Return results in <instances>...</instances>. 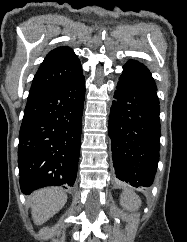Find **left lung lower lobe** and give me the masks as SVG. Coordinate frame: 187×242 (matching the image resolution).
I'll use <instances>...</instances> for the list:
<instances>
[{
    "mask_svg": "<svg viewBox=\"0 0 187 242\" xmlns=\"http://www.w3.org/2000/svg\"><path fill=\"white\" fill-rule=\"evenodd\" d=\"M160 106L156 89L122 74L110 109L109 137L116 177L149 187L160 150Z\"/></svg>",
    "mask_w": 187,
    "mask_h": 242,
    "instance_id": "left-lung-lower-lobe-1",
    "label": "left lung lower lobe"
}]
</instances>
